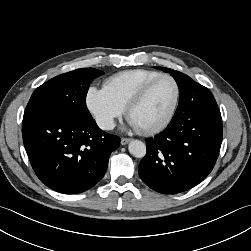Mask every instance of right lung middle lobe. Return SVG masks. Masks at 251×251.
Masks as SVG:
<instances>
[{"instance_id":"1","label":"right lung middle lobe","mask_w":251,"mask_h":251,"mask_svg":"<svg viewBox=\"0 0 251 251\" xmlns=\"http://www.w3.org/2000/svg\"><path fill=\"white\" fill-rule=\"evenodd\" d=\"M103 74L93 68H81L58 75L39 86L28 105L37 104L66 112L76 119L92 117L86 106V95L93 79Z\"/></svg>"}]
</instances>
